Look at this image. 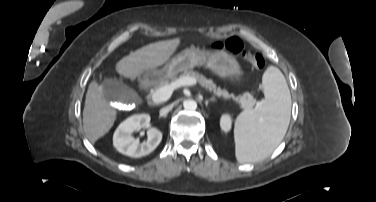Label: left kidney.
<instances>
[{
  "instance_id": "obj_1",
  "label": "left kidney",
  "mask_w": 376,
  "mask_h": 202,
  "mask_svg": "<svg viewBox=\"0 0 376 202\" xmlns=\"http://www.w3.org/2000/svg\"><path fill=\"white\" fill-rule=\"evenodd\" d=\"M220 125L223 131L229 132L231 129V117L229 115H223Z\"/></svg>"
}]
</instances>
